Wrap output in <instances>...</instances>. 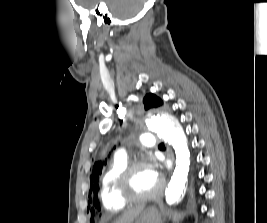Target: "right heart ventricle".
<instances>
[{
    "label": "right heart ventricle",
    "mask_w": 267,
    "mask_h": 223,
    "mask_svg": "<svg viewBox=\"0 0 267 223\" xmlns=\"http://www.w3.org/2000/svg\"><path fill=\"white\" fill-rule=\"evenodd\" d=\"M128 162L126 157H114L102 176L100 199L107 211H119L126 205L116 192V179Z\"/></svg>",
    "instance_id": "right-heart-ventricle-1"
}]
</instances>
